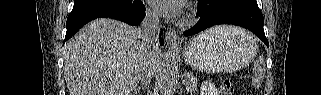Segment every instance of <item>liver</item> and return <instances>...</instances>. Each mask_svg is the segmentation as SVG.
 <instances>
[{
  "instance_id": "6515ba94",
  "label": "liver",
  "mask_w": 321,
  "mask_h": 95,
  "mask_svg": "<svg viewBox=\"0 0 321 95\" xmlns=\"http://www.w3.org/2000/svg\"><path fill=\"white\" fill-rule=\"evenodd\" d=\"M211 32H222L221 27ZM148 51L140 29L101 18L84 26L64 47V78L70 95H129L139 82ZM162 51H155V72Z\"/></svg>"
}]
</instances>
